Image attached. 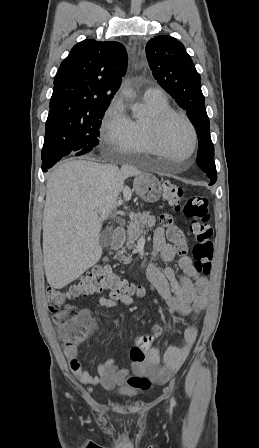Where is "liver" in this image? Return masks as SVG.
<instances>
[{"label":"liver","mask_w":259,"mask_h":448,"mask_svg":"<svg viewBox=\"0 0 259 448\" xmlns=\"http://www.w3.org/2000/svg\"><path fill=\"white\" fill-rule=\"evenodd\" d=\"M130 176L113 164L63 162L47 180L43 214V260L51 288L61 290L102 256L99 234ZM99 212L100 218H93Z\"/></svg>","instance_id":"1"}]
</instances>
